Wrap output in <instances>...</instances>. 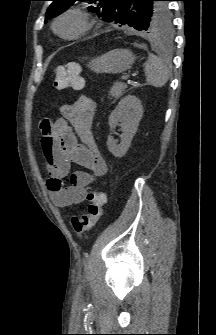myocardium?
Masks as SVG:
<instances>
[{
    "instance_id": "myocardium-1",
    "label": "myocardium",
    "mask_w": 216,
    "mask_h": 335,
    "mask_svg": "<svg viewBox=\"0 0 216 335\" xmlns=\"http://www.w3.org/2000/svg\"><path fill=\"white\" fill-rule=\"evenodd\" d=\"M66 17H75L80 22V28L76 32L70 35H63L58 31L59 22ZM93 26H94V20L91 17V15L88 12L80 8H71V9H68L62 12L60 15L57 16V18L53 22L54 32L59 37L65 40L78 39L81 36H83L85 33H87L88 31H90L93 28Z\"/></svg>"
}]
</instances>
